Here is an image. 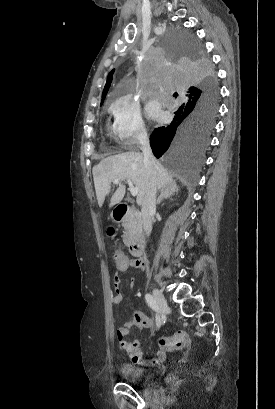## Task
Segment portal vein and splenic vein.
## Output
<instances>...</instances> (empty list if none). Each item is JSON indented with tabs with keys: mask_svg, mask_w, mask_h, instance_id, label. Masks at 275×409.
<instances>
[{
	"mask_svg": "<svg viewBox=\"0 0 275 409\" xmlns=\"http://www.w3.org/2000/svg\"><path fill=\"white\" fill-rule=\"evenodd\" d=\"M119 180H120V178H114V180H113L114 184H118ZM127 182L129 184L131 194H133V196H136V194H138V192H139V188H136V186H133V184L131 182V178H127Z\"/></svg>",
	"mask_w": 275,
	"mask_h": 409,
	"instance_id": "portal-vein-and-splenic-vein-1",
	"label": "portal vein and splenic vein"
}]
</instances>
